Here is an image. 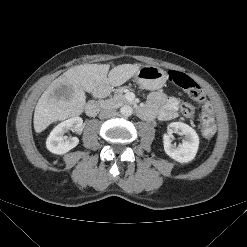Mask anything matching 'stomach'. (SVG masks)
Here are the masks:
<instances>
[{
  "label": "stomach",
  "mask_w": 247,
  "mask_h": 247,
  "mask_svg": "<svg viewBox=\"0 0 247 247\" xmlns=\"http://www.w3.org/2000/svg\"><path fill=\"white\" fill-rule=\"evenodd\" d=\"M135 81L146 89H159L166 80V72L156 66H143L134 76Z\"/></svg>",
  "instance_id": "0dacf381"
}]
</instances>
